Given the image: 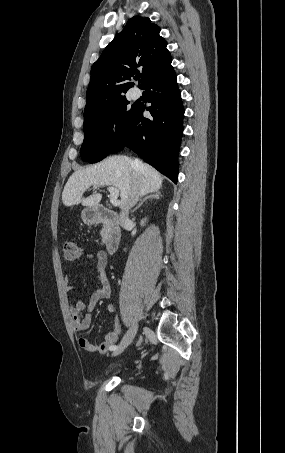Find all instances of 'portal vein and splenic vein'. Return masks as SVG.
<instances>
[{
    "mask_svg": "<svg viewBox=\"0 0 285 453\" xmlns=\"http://www.w3.org/2000/svg\"><path fill=\"white\" fill-rule=\"evenodd\" d=\"M97 188V186H95ZM107 190L110 193V202L112 205H119L120 201H118V196H119V190L115 188L114 186H109Z\"/></svg>",
    "mask_w": 285,
    "mask_h": 453,
    "instance_id": "18ae733b",
    "label": "portal vein and splenic vein"
}]
</instances>
